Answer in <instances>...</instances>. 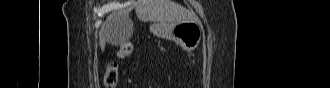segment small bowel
Wrapping results in <instances>:
<instances>
[{"mask_svg":"<svg viewBox=\"0 0 330 88\" xmlns=\"http://www.w3.org/2000/svg\"><path fill=\"white\" fill-rule=\"evenodd\" d=\"M132 50L129 51L127 48H125L124 47V43H123V44L120 45V49H119L118 55H119V57H125V56L129 55L132 52Z\"/></svg>","mask_w":330,"mask_h":88,"instance_id":"c3829d8e","label":"small bowel"}]
</instances>
